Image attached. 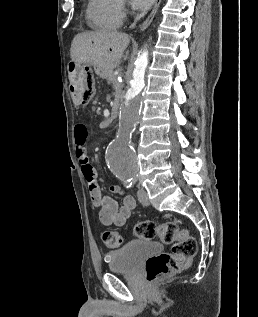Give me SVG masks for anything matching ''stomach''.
Instances as JSON below:
<instances>
[{"instance_id":"stomach-1","label":"stomach","mask_w":258,"mask_h":317,"mask_svg":"<svg viewBox=\"0 0 258 317\" xmlns=\"http://www.w3.org/2000/svg\"><path fill=\"white\" fill-rule=\"evenodd\" d=\"M73 68L77 70V72H80V70H85V68H90V64H87V62H84V64H78V62H72Z\"/></svg>"}]
</instances>
